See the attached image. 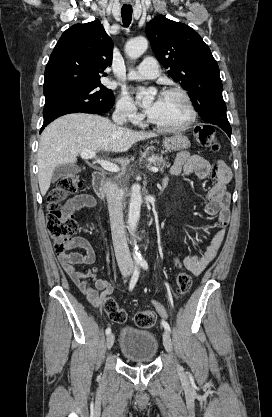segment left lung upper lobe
<instances>
[{
	"label": "left lung upper lobe",
	"mask_w": 272,
	"mask_h": 417,
	"mask_svg": "<svg viewBox=\"0 0 272 417\" xmlns=\"http://www.w3.org/2000/svg\"><path fill=\"white\" fill-rule=\"evenodd\" d=\"M146 35L168 74L189 92L202 119L230 129L219 67L201 36L188 25L163 16L147 24Z\"/></svg>",
	"instance_id": "1"
}]
</instances>
